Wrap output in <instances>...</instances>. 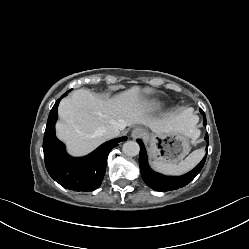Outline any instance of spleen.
Wrapping results in <instances>:
<instances>
[{"mask_svg":"<svg viewBox=\"0 0 249 249\" xmlns=\"http://www.w3.org/2000/svg\"><path fill=\"white\" fill-rule=\"evenodd\" d=\"M204 154V149L201 148L190 153L178 164L154 160L152 165L157 171L163 174L180 175L194 168L202 160Z\"/></svg>","mask_w":249,"mask_h":249,"instance_id":"3e777b00","label":"spleen"}]
</instances>
